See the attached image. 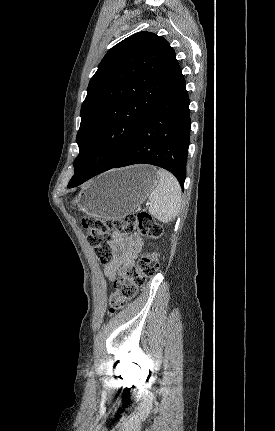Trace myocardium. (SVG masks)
I'll return each mask as SVG.
<instances>
[{"label": "myocardium", "instance_id": "1", "mask_svg": "<svg viewBox=\"0 0 275 431\" xmlns=\"http://www.w3.org/2000/svg\"><path fill=\"white\" fill-rule=\"evenodd\" d=\"M110 147H111V145H110L109 141H103L100 144L98 151L100 154H106L110 151Z\"/></svg>", "mask_w": 275, "mask_h": 431}]
</instances>
